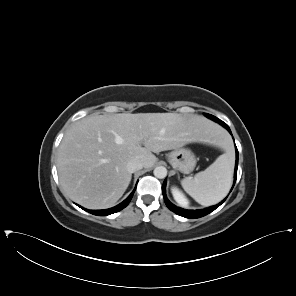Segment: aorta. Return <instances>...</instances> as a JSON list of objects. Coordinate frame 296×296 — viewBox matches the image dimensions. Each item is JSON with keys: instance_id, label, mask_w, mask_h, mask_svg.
I'll return each mask as SVG.
<instances>
[{"instance_id": "1", "label": "aorta", "mask_w": 296, "mask_h": 296, "mask_svg": "<svg viewBox=\"0 0 296 296\" xmlns=\"http://www.w3.org/2000/svg\"><path fill=\"white\" fill-rule=\"evenodd\" d=\"M153 173L155 177L163 179L167 175V169L164 166H158L154 169Z\"/></svg>"}]
</instances>
